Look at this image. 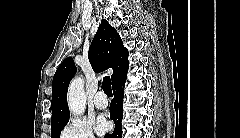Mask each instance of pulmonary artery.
Listing matches in <instances>:
<instances>
[{
	"label": "pulmonary artery",
	"mask_w": 240,
	"mask_h": 138,
	"mask_svg": "<svg viewBox=\"0 0 240 138\" xmlns=\"http://www.w3.org/2000/svg\"><path fill=\"white\" fill-rule=\"evenodd\" d=\"M94 104L98 109H105L108 101L103 91H98L94 96Z\"/></svg>",
	"instance_id": "pulmonary-artery-1"
}]
</instances>
